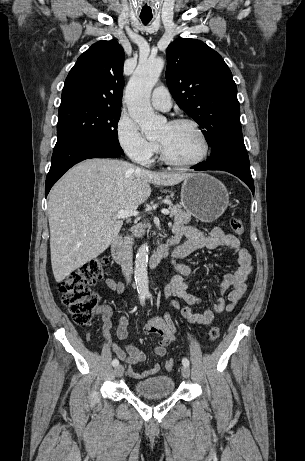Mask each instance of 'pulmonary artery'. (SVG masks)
Returning <instances> with one entry per match:
<instances>
[{
	"instance_id": "pulmonary-artery-1",
	"label": "pulmonary artery",
	"mask_w": 305,
	"mask_h": 461,
	"mask_svg": "<svg viewBox=\"0 0 305 461\" xmlns=\"http://www.w3.org/2000/svg\"><path fill=\"white\" fill-rule=\"evenodd\" d=\"M151 103L156 109L168 111L172 106V99L168 89L165 86L156 87L152 92Z\"/></svg>"
}]
</instances>
